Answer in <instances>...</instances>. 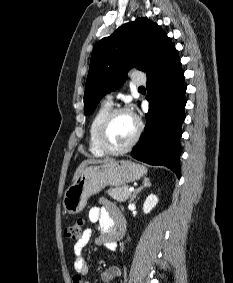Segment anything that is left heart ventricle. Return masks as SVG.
<instances>
[{
    "label": "left heart ventricle",
    "instance_id": "b2bd125f",
    "mask_svg": "<svg viewBox=\"0 0 233 283\" xmlns=\"http://www.w3.org/2000/svg\"><path fill=\"white\" fill-rule=\"evenodd\" d=\"M136 122L129 113L117 115L109 125L106 142L111 148H122L132 139Z\"/></svg>",
    "mask_w": 233,
    "mask_h": 283
}]
</instances>
